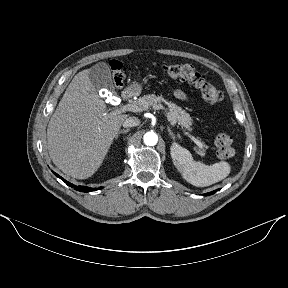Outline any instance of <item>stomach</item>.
<instances>
[{
    "label": "stomach",
    "mask_w": 288,
    "mask_h": 288,
    "mask_svg": "<svg viewBox=\"0 0 288 288\" xmlns=\"http://www.w3.org/2000/svg\"><path fill=\"white\" fill-rule=\"evenodd\" d=\"M129 90L134 94H140L142 90V86L141 84L134 83L133 85L129 87Z\"/></svg>",
    "instance_id": "stomach-1"
}]
</instances>
